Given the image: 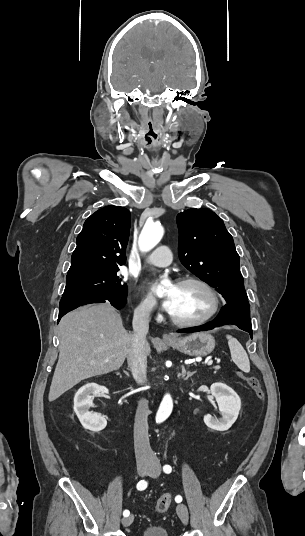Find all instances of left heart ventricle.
<instances>
[{
    "label": "left heart ventricle",
    "instance_id": "1",
    "mask_svg": "<svg viewBox=\"0 0 305 536\" xmlns=\"http://www.w3.org/2000/svg\"><path fill=\"white\" fill-rule=\"evenodd\" d=\"M168 295L173 299L170 311L183 318H203L214 307L212 294L198 284L176 285L169 290Z\"/></svg>",
    "mask_w": 305,
    "mask_h": 536
}]
</instances>
